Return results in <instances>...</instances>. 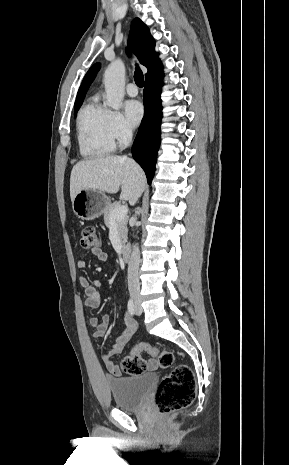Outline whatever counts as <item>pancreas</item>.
<instances>
[{
	"instance_id": "1",
	"label": "pancreas",
	"mask_w": 289,
	"mask_h": 465,
	"mask_svg": "<svg viewBox=\"0 0 289 465\" xmlns=\"http://www.w3.org/2000/svg\"><path fill=\"white\" fill-rule=\"evenodd\" d=\"M120 205V203L118 202H114L112 204H110L105 212H104V222H105V225L107 227H110L111 225V214L112 212L118 208ZM127 217L123 218L122 220L120 221H116V228H117V231H118V236H119V239H120V242L122 244V246L125 245V243L127 242V233H128V229H127Z\"/></svg>"
}]
</instances>
